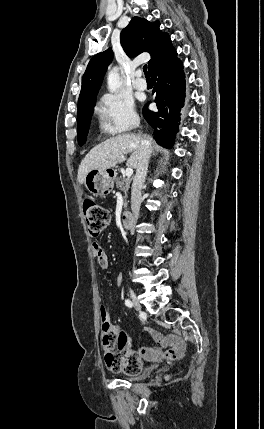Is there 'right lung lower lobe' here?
Returning a JSON list of instances; mask_svg holds the SVG:
<instances>
[{
  "label": "right lung lower lobe",
  "instance_id": "1",
  "mask_svg": "<svg viewBox=\"0 0 264 429\" xmlns=\"http://www.w3.org/2000/svg\"><path fill=\"white\" fill-rule=\"evenodd\" d=\"M156 92L157 111L143 109L145 120L154 129V139L158 144L171 148L174 135L178 131L179 112L184 105L185 74L183 64L174 49L150 73Z\"/></svg>",
  "mask_w": 264,
  "mask_h": 429
}]
</instances>
